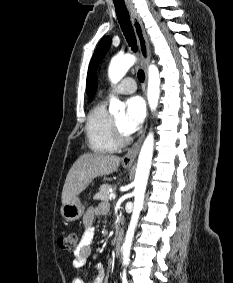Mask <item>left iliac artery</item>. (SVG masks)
Here are the masks:
<instances>
[{
	"label": "left iliac artery",
	"instance_id": "left-iliac-artery-1",
	"mask_svg": "<svg viewBox=\"0 0 233 283\" xmlns=\"http://www.w3.org/2000/svg\"><path fill=\"white\" fill-rule=\"evenodd\" d=\"M122 283H128L125 269L123 270V273H122Z\"/></svg>",
	"mask_w": 233,
	"mask_h": 283
}]
</instances>
